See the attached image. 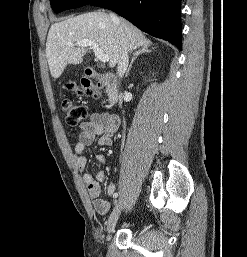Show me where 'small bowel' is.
<instances>
[{
  "instance_id": "small-bowel-1",
  "label": "small bowel",
  "mask_w": 247,
  "mask_h": 257,
  "mask_svg": "<svg viewBox=\"0 0 247 257\" xmlns=\"http://www.w3.org/2000/svg\"><path fill=\"white\" fill-rule=\"evenodd\" d=\"M118 126L119 119L116 115L102 112L93 113L90 118L82 124L78 140L74 147V154L79 170L83 171L86 167L87 161L84 155L86 147L91 145L96 137H99L97 141L99 146H111L112 137L117 131ZM96 160L101 165L106 164V157L103 154H98ZM104 179V171H98L94 176L89 173L83 176L89 194L93 199L94 209L101 215L107 214L111 207L109 201L100 198V183L104 181ZM115 193H117L116 185L110 183L107 186V194L114 197Z\"/></svg>"
}]
</instances>
